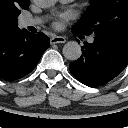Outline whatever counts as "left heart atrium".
<instances>
[{
    "mask_svg": "<svg viewBox=\"0 0 128 128\" xmlns=\"http://www.w3.org/2000/svg\"><path fill=\"white\" fill-rule=\"evenodd\" d=\"M53 25L55 28H61L63 25V19L56 20Z\"/></svg>",
    "mask_w": 128,
    "mask_h": 128,
    "instance_id": "1",
    "label": "left heart atrium"
}]
</instances>
